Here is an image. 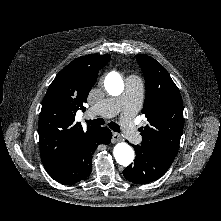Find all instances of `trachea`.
Masks as SVG:
<instances>
[{
  "mask_svg": "<svg viewBox=\"0 0 221 221\" xmlns=\"http://www.w3.org/2000/svg\"><path fill=\"white\" fill-rule=\"evenodd\" d=\"M86 123L88 125H92V126H100L105 124L104 119L102 118H98V119H94V120H86ZM108 126L115 132H120V126L114 122H110L108 123Z\"/></svg>",
  "mask_w": 221,
  "mask_h": 221,
  "instance_id": "trachea-1",
  "label": "trachea"
}]
</instances>
